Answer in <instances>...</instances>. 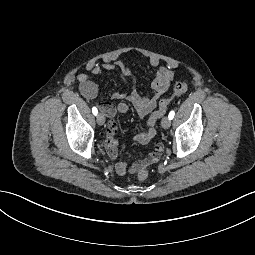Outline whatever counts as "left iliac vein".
<instances>
[{
    "label": "left iliac vein",
    "mask_w": 255,
    "mask_h": 255,
    "mask_svg": "<svg viewBox=\"0 0 255 255\" xmlns=\"http://www.w3.org/2000/svg\"><path fill=\"white\" fill-rule=\"evenodd\" d=\"M171 125V121L169 119V117H164L161 121V126L164 128V129H168Z\"/></svg>",
    "instance_id": "obj_1"
}]
</instances>
